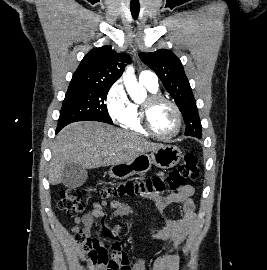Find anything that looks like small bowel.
Instances as JSON below:
<instances>
[{"instance_id": "obj_1", "label": "small bowel", "mask_w": 267, "mask_h": 270, "mask_svg": "<svg viewBox=\"0 0 267 270\" xmlns=\"http://www.w3.org/2000/svg\"><path fill=\"white\" fill-rule=\"evenodd\" d=\"M193 194V187L191 185H185L170 195L164 197H151L154 206L163 218V223L161 225H155L152 227L150 236L152 240L180 243L189 235L196 221L195 204L192 198ZM172 204L180 205L183 212V216L181 218L171 219L164 215L165 210ZM106 206V201L93 203L92 208L83 216L74 218L72 231L90 232L91 227L96 220L102 221L106 218ZM110 207L114 210L116 216L122 218L127 217L132 212L131 207L119 201H112L110 203ZM103 236L105 239L113 241L110 258L119 259L123 255L127 257V254L124 252L121 244L117 240L116 230L104 227ZM170 264V257H157L153 261L152 268L153 270H163L165 266H169ZM127 266L128 268L126 270H146V263L142 256L137 257L131 263H129L127 257Z\"/></svg>"}]
</instances>
